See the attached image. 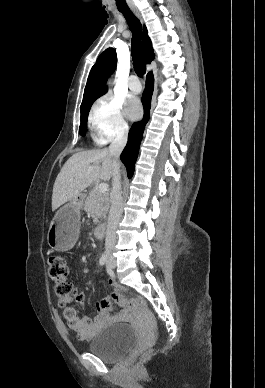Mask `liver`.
<instances>
[{
	"mask_svg": "<svg viewBox=\"0 0 265 388\" xmlns=\"http://www.w3.org/2000/svg\"><path fill=\"white\" fill-rule=\"evenodd\" d=\"M113 158L109 150H86L73 154L60 170L52 194V212L62 204L77 198L78 194L97 180L112 178ZM119 162V160H118ZM93 166L94 170H89Z\"/></svg>",
	"mask_w": 265,
	"mask_h": 388,
	"instance_id": "liver-1",
	"label": "liver"
}]
</instances>
